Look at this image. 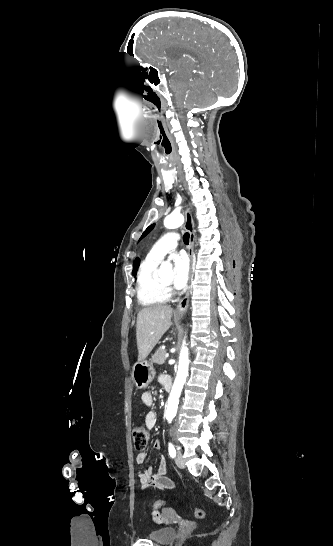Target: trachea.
I'll return each instance as SVG.
<instances>
[{
    "mask_svg": "<svg viewBox=\"0 0 333 546\" xmlns=\"http://www.w3.org/2000/svg\"><path fill=\"white\" fill-rule=\"evenodd\" d=\"M189 237H190L189 233H185L183 236L184 243L187 245L189 244Z\"/></svg>",
    "mask_w": 333,
    "mask_h": 546,
    "instance_id": "obj_1",
    "label": "trachea"
}]
</instances>
